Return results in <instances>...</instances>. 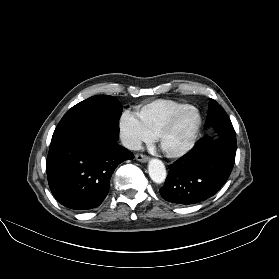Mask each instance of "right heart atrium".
Returning <instances> with one entry per match:
<instances>
[{
    "instance_id": "obj_1",
    "label": "right heart atrium",
    "mask_w": 279,
    "mask_h": 279,
    "mask_svg": "<svg viewBox=\"0 0 279 279\" xmlns=\"http://www.w3.org/2000/svg\"><path fill=\"white\" fill-rule=\"evenodd\" d=\"M118 128L122 142L129 149L136 150L143 143L152 140V136L143 127L138 116L129 110H125L121 114Z\"/></svg>"
}]
</instances>
